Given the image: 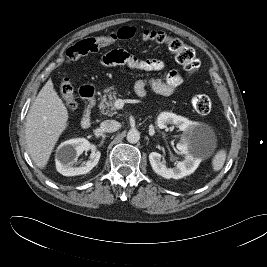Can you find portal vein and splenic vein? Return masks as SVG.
Listing matches in <instances>:
<instances>
[{
	"mask_svg": "<svg viewBox=\"0 0 267 267\" xmlns=\"http://www.w3.org/2000/svg\"><path fill=\"white\" fill-rule=\"evenodd\" d=\"M123 106H124V102L121 99H117L114 102V107L117 108V109H121V108H123Z\"/></svg>",
	"mask_w": 267,
	"mask_h": 267,
	"instance_id": "18ae733b",
	"label": "portal vein and splenic vein"
}]
</instances>
